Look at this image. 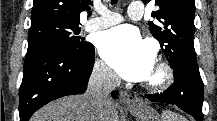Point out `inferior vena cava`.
<instances>
[{"mask_svg": "<svg viewBox=\"0 0 217 121\" xmlns=\"http://www.w3.org/2000/svg\"><path fill=\"white\" fill-rule=\"evenodd\" d=\"M119 84V77L109 67L103 64L94 66L84 94L89 106L90 121L105 120V115L113 104L109 95Z\"/></svg>", "mask_w": 217, "mask_h": 121, "instance_id": "602c4592", "label": "inferior vena cava"}]
</instances>
